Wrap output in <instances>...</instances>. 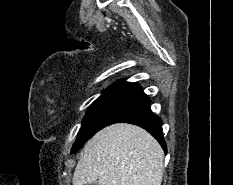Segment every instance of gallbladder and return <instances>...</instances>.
<instances>
[{"label": "gallbladder", "instance_id": "1", "mask_svg": "<svg viewBox=\"0 0 233 185\" xmlns=\"http://www.w3.org/2000/svg\"><path fill=\"white\" fill-rule=\"evenodd\" d=\"M86 185H98L97 182L87 183Z\"/></svg>", "mask_w": 233, "mask_h": 185}]
</instances>
